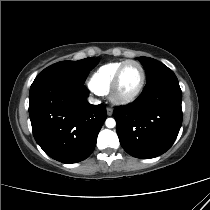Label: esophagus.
Returning a JSON list of instances; mask_svg holds the SVG:
<instances>
[{
	"label": "esophagus",
	"instance_id": "1",
	"mask_svg": "<svg viewBox=\"0 0 210 210\" xmlns=\"http://www.w3.org/2000/svg\"><path fill=\"white\" fill-rule=\"evenodd\" d=\"M106 111H107V115H108V116H112V114H113V109H112L111 107H107V108H106Z\"/></svg>",
	"mask_w": 210,
	"mask_h": 210
}]
</instances>
